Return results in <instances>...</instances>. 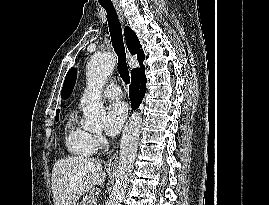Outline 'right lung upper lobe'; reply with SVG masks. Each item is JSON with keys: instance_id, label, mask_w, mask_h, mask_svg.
Here are the masks:
<instances>
[{"instance_id": "obj_1", "label": "right lung upper lobe", "mask_w": 269, "mask_h": 205, "mask_svg": "<svg viewBox=\"0 0 269 205\" xmlns=\"http://www.w3.org/2000/svg\"><path fill=\"white\" fill-rule=\"evenodd\" d=\"M124 34H125L128 50L130 51L132 55L137 54L138 62L141 65V68H135L132 70V73H131V77H132L137 72L145 70L143 66V60L145 56H144L143 50H140L141 45L134 31L131 28L126 27L124 30ZM58 114H59V110H57L56 116H58Z\"/></svg>"}]
</instances>
